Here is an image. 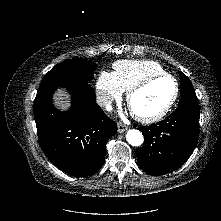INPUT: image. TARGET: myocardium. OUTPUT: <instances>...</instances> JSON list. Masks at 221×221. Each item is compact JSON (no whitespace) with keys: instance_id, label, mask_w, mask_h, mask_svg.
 <instances>
[{"instance_id":"obj_1","label":"myocardium","mask_w":221,"mask_h":221,"mask_svg":"<svg viewBox=\"0 0 221 221\" xmlns=\"http://www.w3.org/2000/svg\"><path fill=\"white\" fill-rule=\"evenodd\" d=\"M161 78H168V79L172 80V82L174 84V92H173V95H172L171 99L169 100V102L159 112H157L153 115L145 116V115H139V114L134 113L131 109V101H132L133 97L136 94H138L139 92L146 89L155 80H158ZM178 94H179V85H178L176 78L174 76H172L171 74L164 72V73L152 75V76L144 79L143 81H141L140 83H138L134 87H132L127 92L126 101H127V105L131 109L134 117L138 121H140L142 123H154V122H157L160 119H162L171 110V108L173 107V105L175 104V102L178 98Z\"/></svg>"}]
</instances>
